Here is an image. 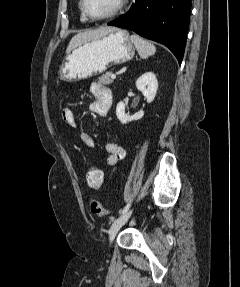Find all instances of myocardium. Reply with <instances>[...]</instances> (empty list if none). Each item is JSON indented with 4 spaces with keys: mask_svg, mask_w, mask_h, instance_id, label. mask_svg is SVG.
I'll return each mask as SVG.
<instances>
[{
    "mask_svg": "<svg viewBox=\"0 0 240 287\" xmlns=\"http://www.w3.org/2000/svg\"><path fill=\"white\" fill-rule=\"evenodd\" d=\"M127 0H118L116 6L113 8V10L111 12H109L106 15L103 16H94L92 15L88 8H87V0H81V9L84 13V15L90 19L91 21H106L109 19H112L113 17H115L116 15H118L122 9L124 8V6L126 5Z\"/></svg>",
    "mask_w": 240,
    "mask_h": 287,
    "instance_id": "f54148a6",
    "label": "myocardium"
}]
</instances>
